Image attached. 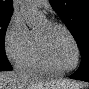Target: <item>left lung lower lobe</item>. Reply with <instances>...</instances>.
Listing matches in <instances>:
<instances>
[{"instance_id": "left-lung-lower-lobe-1", "label": "left lung lower lobe", "mask_w": 89, "mask_h": 89, "mask_svg": "<svg viewBox=\"0 0 89 89\" xmlns=\"http://www.w3.org/2000/svg\"><path fill=\"white\" fill-rule=\"evenodd\" d=\"M89 57L81 59V64L78 70L70 76L72 79H78L89 82Z\"/></svg>"}]
</instances>
